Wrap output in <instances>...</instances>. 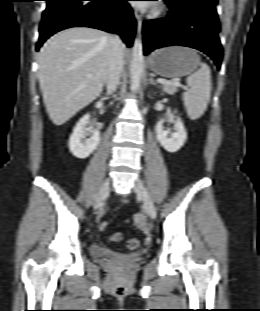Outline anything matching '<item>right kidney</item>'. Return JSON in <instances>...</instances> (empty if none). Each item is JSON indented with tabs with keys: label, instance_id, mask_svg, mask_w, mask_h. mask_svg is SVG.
I'll use <instances>...</instances> for the list:
<instances>
[{
	"label": "right kidney",
	"instance_id": "obj_1",
	"mask_svg": "<svg viewBox=\"0 0 260 311\" xmlns=\"http://www.w3.org/2000/svg\"><path fill=\"white\" fill-rule=\"evenodd\" d=\"M89 117V114H86L79 120L69 139V150L79 159L87 158L100 142V132L97 129H86V126L90 123ZM87 131L91 134V137L83 141Z\"/></svg>",
	"mask_w": 260,
	"mask_h": 311
}]
</instances>
